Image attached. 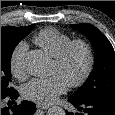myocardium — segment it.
<instances>
[{
	"label": "myocardium",
	"mask_w": 115,
	"mask_h": 115,
	"mask_svg": "<svg viewBox=\"0 0 115 115\" xmlns=\"http://www.w3.org/2000/svg\"><path fill=\"white\" fill-rule=\"evenodd\" d=\"M76 48H82L85 51L86 67L79 78L67 83V85L71 88H76L83 85L90 77L95 65V53H94L93 46L91 45V43H89L87 40L84 39L71 40L61 50L59 55L56 58H54V64L60 69L63 68L66 65L71 53Z\"/></svg>",
	"instance_id": "f54148a6"
}]
</instances>
